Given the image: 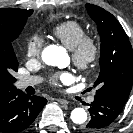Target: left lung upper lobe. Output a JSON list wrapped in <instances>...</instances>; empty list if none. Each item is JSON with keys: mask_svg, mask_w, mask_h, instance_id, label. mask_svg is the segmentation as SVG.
Listing matches in <instances>:
<instances>
[{"mask_svg": "<svg viewBox=\"0 0 133 133\" xmlns=\"http://www.w3.org/2000/svg\"><path fill=\"white\" fill-rule=\"evenodd\" d=\"M101 39L100 73L94 83L96 95L125 106L133 83V51L118 20L96 5L86 4Z\"/></svg>", "mask_w": 133, "mask_h": 133, "instance_id": "left-lung-upper-lobe-1", "label": "left lung upper lobe"}]
</instances>
